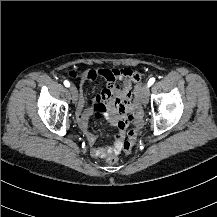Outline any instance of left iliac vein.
I'll list each match as a JSON object with an SVG mask.
<instances>
[{
	"label": "left iliac vein",
	"mask_w": 217,
	"mask_h": 217,
	"mask_svg": "<svg viewBox=\"0 0 217 217\" xmlns=\"http://www.w3.org/2000/svg\"><path fill=\"white\" fill-rule=\"evenodd\" d=\"M149 100V88L144 85L140 90V101L143 105H147Z\"/></svg>",
	"instance_id": "4c4485c4"
}]
</instances>
